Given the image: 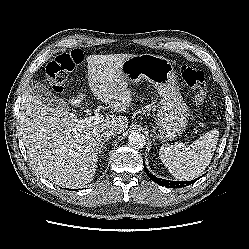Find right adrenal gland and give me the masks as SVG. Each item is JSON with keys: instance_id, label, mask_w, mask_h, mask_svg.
<instances>
[{"instance_id": "2a0ac1e0", "label": "right adrenal gland", "mask_w": 249, "mask_h": 249, "mask_svg": "<svg viewBox=\"0 0 249 249\" xmlns=\"http://www.w3.org/2000/svg\"><path fill=\"white\" fill-rule=\"evenodd\" d=\"M108 140H109V138H108V139H105V140L102 142V144H101V146H100V148H99V153H100V154L103 152V148H105V144L108 142Z\"/></svg>"}]
</instances>
